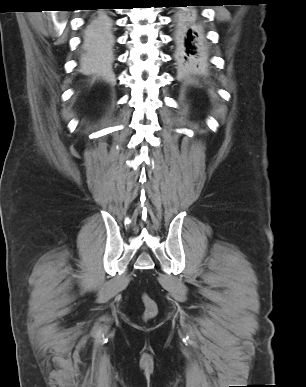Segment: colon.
Listing matches in <instances>:
<instances>
[{
    "instance_id": "colon-1",
    "label": "colon",
    "mask_w": 306,
    "mask_h": 387,
    "mask_svg": "<svg viewBox=\"0 0 306 387\" xmlns=\"http://www.w3.org/2000/svg\"><path fill=\"white\" fill-rule=\"evenodd\" d=\"M142 301L145 307L143 313L144 319L148 320L153 318L157 314V305L155 301L148 294L142 295Z\"/></svg>"
}]
</instances>
